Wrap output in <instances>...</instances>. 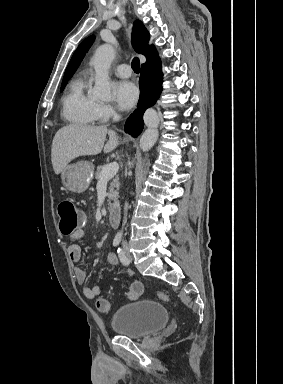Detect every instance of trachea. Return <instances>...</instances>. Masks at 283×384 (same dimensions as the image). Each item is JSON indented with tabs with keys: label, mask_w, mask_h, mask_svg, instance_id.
<instances>
[{
	"label": "trachea",
	"mask_w": 283,
	"mask_h": 384,
	"mask_svg": "<svg viewBox=\"0 0 283 384\" xmlns=\"http://www.w3.org/2000/svg\"><path fill=\"white\" fill-rule=\"evenodd\" d=\"M131 67L135 73H139L140 62H139V59L137 57H134V59L132 60Z\"/></svg>",
	"instance_id": "obj_1"
}]
</instances>
